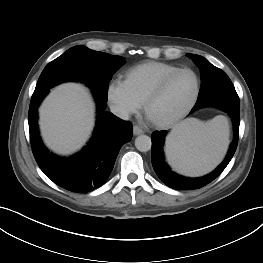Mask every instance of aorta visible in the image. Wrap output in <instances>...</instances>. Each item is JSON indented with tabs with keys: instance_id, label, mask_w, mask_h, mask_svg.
Returning <instances> with one entry per match:
<instances>
[{
	"instance_id": "obj_1",
	"label": "aorta",
	"mask_w": 263,
	"mask_h": 263,
	"mask_svg": "<svg viewBox=\"0 0 263 263\" xmlns=\"http://www.w3.org/2000/svg\"><path fill=\"white\" fill-rule=\"evenodd\" d=\"M151 138L147 135H139L135 139V147L141 152H147L151 149Z\"/></svg>"
}]
</instances>
